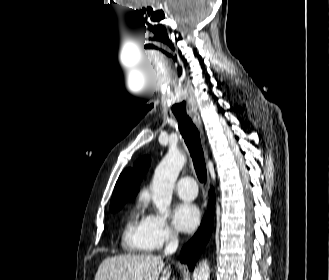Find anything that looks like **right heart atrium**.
<instances>
[{"label":"right heart atrium","instance_id":"right-heart-atrium-1","mask_svg":"<svg viewBox=\"0 0 329 280\" xmlns=\"http://www.w3.org/2000/svg\"><path fill=\"white\" fill-rule=\"evenodd\" d=\"M147 232L151 248L161 249L176 241L177 232L161 215L151 213L147 216Z\"/></svg>","mask_w":329,"mask_h":280}]
</instances>
